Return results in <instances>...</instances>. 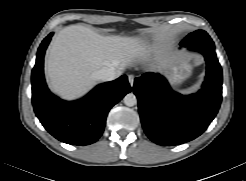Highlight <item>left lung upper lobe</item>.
Here are the masks:
<instances>
[{
	"label": "left lung upper lobe",
	"mask_w": 246,
	"mask_h": 181,
	"mask_svg": "<svg viewBox=\"0 0 246 181\" xmlns=\"http://www.w3.org/2000/svg\"><path fill=\"white\" fill-rule=\"evenodd\" d=\"M203 39H210V36L203 30H198L193 33H190L186 36L180 43V46L189 45L193 42L203 40Z\"/></svg>",
	"instance_id": "5c2ea615"
}]
</instances>
